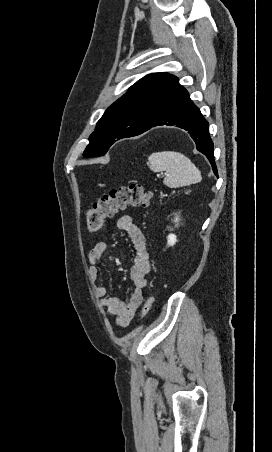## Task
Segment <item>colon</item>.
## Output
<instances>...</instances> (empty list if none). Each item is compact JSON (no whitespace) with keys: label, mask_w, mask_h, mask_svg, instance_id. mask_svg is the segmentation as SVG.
Listing matches in <instances>:
<instances>
[{"label":"colon","mask_w":272,"mask_h":452,"mask_svg":"<svg viewBox=\"0 0 272 452\" xmlns=\"http://www.w3.org/2000/svg\"><path fill=\"white\" fill-rule=\"evenodd\" d=\"M151 198L152 192L144 189L138 183H131L111 190L88 209L86 215L87 228L90 232H97L101 229L104 221L113 217L117 212L129 206L148 207ZM154 302L155 294L150 293L142 307V317L149 313Z\"/></svg>","instance_id":"obj_1"}]
</instances>
